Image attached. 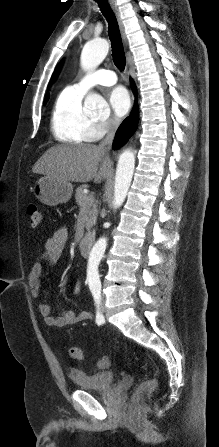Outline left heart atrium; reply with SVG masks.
<instances>
[{"label": "left heart atrium", "mask_w": 219, "mask_h": 447, "mask_svg": "<svg viewBox=\"0 0 219 447\" xmlns=\"http://www.w3.org/2000/svg\"><path fill=\"white\" fill-rule=\"evenodd\" d=\"M109 105L117 117L125 116L131 107V99L123 87L113 89L108 97Z\"/></svg>", "instance_id": "39dd6f15"}]
</instances>
